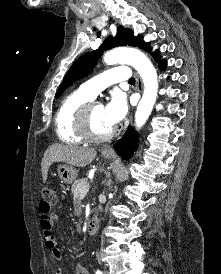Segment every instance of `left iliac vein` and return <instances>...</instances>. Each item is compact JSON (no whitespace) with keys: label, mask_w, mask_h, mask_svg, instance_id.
<instances>
[{"label":"left iliac vein","mask_w":221,"mask_h":274,"mask_svg":"<svg viewBox=\"0 0 221 274\" xmlns=\"http://www.w3.org/2000/svg\"><path fill=\"white\" fill-rule=\"evenodd\" d=\"M103 274H109V273H108V271H107V270H105Z\"/></svg>","instance_id":"obj_1"}]
</instances>
